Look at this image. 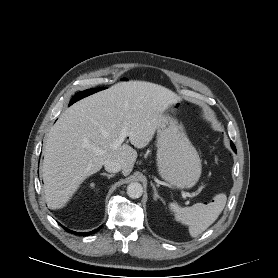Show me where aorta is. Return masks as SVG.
I'll list each match as a JSON object with an SVG mask.
<instances>
[{
    "mask_svg": "<svg viewBox=\"0 0 278 278\" xmlns=\"http://www.w3.org/2000/svg\"><path fill=\"white\" fill-rule=\"evenodd\" d=\"M127 194L132 199H137L142 196L143 194V187L138 182L130 183L127 186Z\"/></svg>",
    "mask_w": 278,
    "mask_h": 278,
    "instance_id": "1",
    "label": "aorta"
}]
</instances>
